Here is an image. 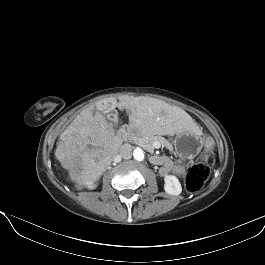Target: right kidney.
I'll use <instances>...</instances> for the list:
<instances>
[{"mask_svg":"<svg viewBox=\"0 0 265 265\" xmlns=\"http://www.w3.org/2000/svg\"><path fill=\"white\" fill-rule=\"evenodd\" d=\"M88 187H89V188H94V187H95V184L90 183V184H88Z\"/></svg>","mask_w":265,"mask_h":265,"instance_id":"right-kidney-1","label":"right kidney"}]
</instances>
